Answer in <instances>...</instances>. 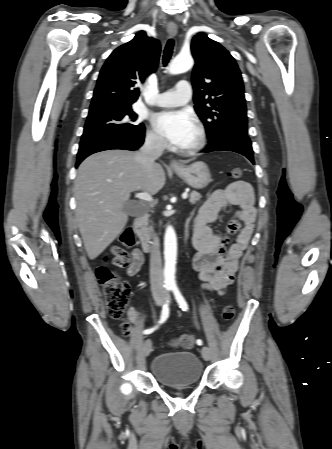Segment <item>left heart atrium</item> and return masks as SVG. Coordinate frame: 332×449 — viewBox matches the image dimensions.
Here are the masks:
<instances>
[{"label": "left heart atrium", "instance_id": "obj_1", "mask_svg": "<svg viewBox=\"0 0 332 449\" xmlns=\"http://www.w3.org/2000/svg\"><path fill=\"white\" fill-rule=\"evenodd\" d=\"M154 125L161 135L177 147H184L196 131L193 116L185 110L160 112L154 117Z\"/></svg>", "mask_w": 332, "mask_h": 449}]
</instances>
